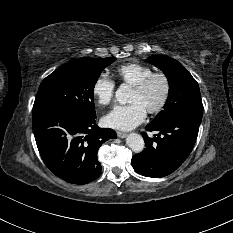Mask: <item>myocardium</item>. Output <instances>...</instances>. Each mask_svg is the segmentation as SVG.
<instances>
[{"instance_id":"f54148a6","label":"myocardium","mask_w":233,"mask_h":233,"mask_svg":"<svg viewBox=\"0 0 233 233\" xmlns=\"http://www.w3.org/2000/svg\"><path fill=\"white\" fill-rule=\"evenodd\" d=\"M155 79H160L163 82V94L159 103L155 107L147 110V112L150 114L159 113L166 106L171 92V82L169 77L163 72H153L133 87L136 92L142 93Z\"/></svg>"}]
</instances>
